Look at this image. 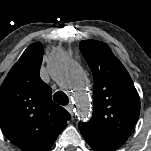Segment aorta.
Instances as JSON below:
<instances>
[{"instance_id": "762f6f07", "label": "aorta", "mask_w": 151, "mask_h": 151, "mask_svg": "<svg viewBox=\"0 0 151 151\" xmlns=\"http://www.w3.org/2000/svg\"><path fill=\"white\" fill-rule=\"evenodd\" d=\"M50 71L53 76L70 79L76 71H79L78 66L69 60L63 51L58 50L52 59ZM74 99L77 106V114L81 120H85L90 115L88 96L80 86L75 87Z\"/></svg>"}]
</instances>
